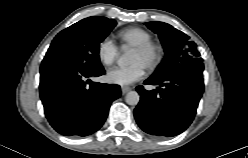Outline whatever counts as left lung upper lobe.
Here are the masks:
<instances>
[{
	"label": "left lung upper lobe",
	"instance_id": "5c2ea615",
	"mask_svg": "<svg viewBox=\"0 0 248 158\" xmlns=\"http://www.w3.org/2000/svg\"><path fill=\"white\" fill-rule=\"evenodd\" d=\"M145 24L159 35L166 53L162 63L151 77L162 78L184 63L200 60L197 45L183 32L163 22Z\"/></svg>",
	"mask_w": 248,
	"mask_h": 158
}]
</instances>
